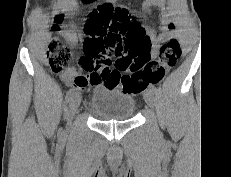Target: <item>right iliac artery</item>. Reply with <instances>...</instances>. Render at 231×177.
I'll use <instances>...</instances> for the list:
<instances>
[{"mask_svg": "<svg viewBox=\"0 0 231 177\" xmlns=\"http://www.w3.org/2000/svg\"><path fill=\"white\" fill-rule=\"evenodd\" d=\"M74 94L73 89H70L65 96V103H68Z\"/></svg>", "mask_w": 231, "mask_h": 177, "instance_id": "obj_1", "label": "right iliac artery"}]
</instances>
